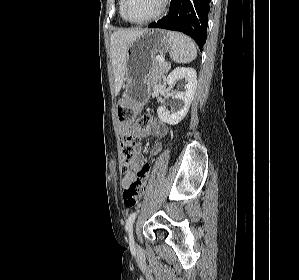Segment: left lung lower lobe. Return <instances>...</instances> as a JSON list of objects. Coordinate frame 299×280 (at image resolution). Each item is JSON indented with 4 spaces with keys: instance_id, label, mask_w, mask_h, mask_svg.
<instances>
[{
    "instance_id": "0a47b994",
    "label": "left lung lower lobe",
    "mask_w": 299,
    "mask_h": 280,
    "mask_svg": "<svg viewBox=\"0 0 299 280\" xmlns=\"http://www.w3.org/2000/svg\"><path fill=\"white\" fill-rule=\"evenodd\" d=\"M211 0H171L169 12L148 27L183 32L197 42L200 50L207 38V20Z\"/></svg>"
}]
</instances>
